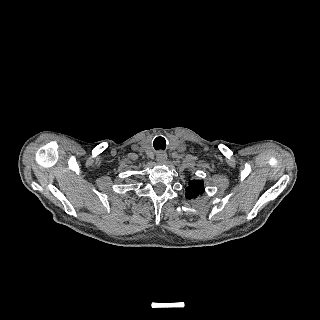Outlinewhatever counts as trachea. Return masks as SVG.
<instances>
[{
  "instance_id": "trachea-1",
  "label": "trachea",
  "mask_w": 320,
  "mask_h": 320,
  "mask_svg": "<svg viewBox=\"0 0 320 320\" xmlns=\"http://www.w3.org/2000/svg\"><path fill=\"white\" fill-rule=\"evenodd\" d=\"M153 146H154L155 150H164L166 148V141L161 136L156 137L153 142Z\"/></svg>"
}]
</instances>
